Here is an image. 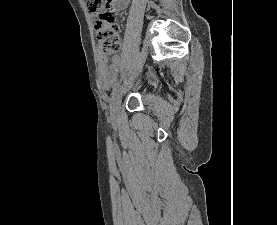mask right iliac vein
Here are the masks:
<instances>
[{"instance_id": "right-iliac-vein-1", "label": "right iliac vein", "mask_w": 277, "mask_h": 225, "mask_svg": "<svg viewBox=\"0 0 277 225\" xmlns=\"http://www.w3.org/2000/svg\"><path fill=\"white\" fill-rule=\"evenodd\" d=\"M121 99H122V92H117L111 100L110 116L112 120H115L119 114Z\"/></svg>"}]
</instances>
